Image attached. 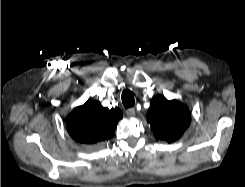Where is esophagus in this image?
<instances>
[{
    "label": "esophagus",
    "mask_w": 245,
    "mask_h": 187,
    "mask_svg": "<svg viewBox=\"0 0 245 187\" xmlns=\"http://www.w3.org/2000/svg\"><path fill=\"white\" fill-rule=\"evenodd\" d=\"M126 114L129 116V117H134L135 116V109L134 108H128L126 110Z\"/></svg>",
    "instance_id": "obj_1"
}]
</instances>
